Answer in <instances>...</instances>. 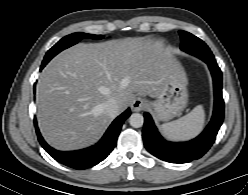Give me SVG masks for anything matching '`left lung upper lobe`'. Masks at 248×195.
I'll use <instances>...</instances> for the list:
<instances>
[{"mask_svg": "<svg viewBox=\"0 0 248 195\" xmlns=\"http://www.w3.org/2000/svg\"><path fill=\"white\" fill-rule=\"evenodd\" d=\"M180 37H181V50L198 57L199 59H201V57L199 56V53L201 52H205L206 54H208L210 57L214 58L211 50L209 49V47L198 37L192 35L189 32L186 31H179Z\"/></svg>", "mask_w": 248, "mask_h": 195, "instance_id": "left-lung-upper-lobe-1", "label": "left lung upper lobe"}]
</instances>
